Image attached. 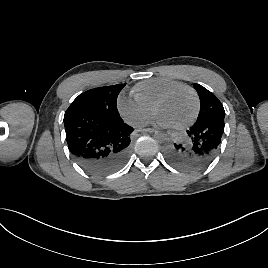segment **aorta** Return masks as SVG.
<instances>
[{
    "mask_svg": "<svg viewBox=\"0 0 268 268\" xmlns=\"http://www.w3.org/2000/svg\"><path fill=\"white\" fill-rule=\"evenodd\" d=\"M154 138L157 142L162 143L167 138L166 132L164 130H157L155 132Z\"/></svg>",
    "mask_w": 268,
    "mask_h": 268,
    "instance_id": "1",
    "label": "aorta"
}]
</instances>
